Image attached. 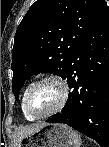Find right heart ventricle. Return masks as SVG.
Returning <instances> with one entry per match:
<instances>
[{"label": "right heart ventricle", "instance_id": "1", "mask_svg": "<svg viewBox=\"0 0 109 147\" xmlns=\"http://www.w3.org/2000/svg\"><path fill=\"white\" fill-rule=\"evenodd\" d=\"M29 88H30V86H28V87L25 89V91L23 92L22 99H21V111H22L23 116H24L27 120L33 121V120H35V118L32 117V116H30V115H28L27 112H26L25 109H24V97H25L26 92L28 91Z\"/></svg>", "mask_w": 109, "mask_h": 147}]
</instances>
